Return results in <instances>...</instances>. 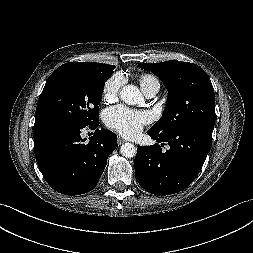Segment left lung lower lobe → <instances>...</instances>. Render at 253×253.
Listing matches in <instances>:
<instances>
[{"label":"left lung lower lobe","mask_w":253,"mask_h":253,"mask_svg":"<svg viewBox=\"0 0 253 253\" xmlns=\"http://www.w3.org/2000/svg\"><path fill=\"white\" fill-rule=\"evenodd\" d=\"M213 125L199 123L162 136L148 130L155 145L138 147L135 175L146 191L170 195L188 187L201 170L212 143ZM170 148L162 151L159 143Z\"/></svg>","instance_id":"obj_1"}]
</instances>
